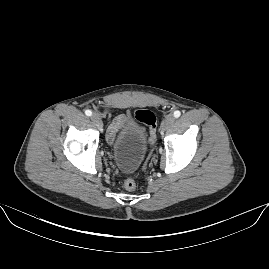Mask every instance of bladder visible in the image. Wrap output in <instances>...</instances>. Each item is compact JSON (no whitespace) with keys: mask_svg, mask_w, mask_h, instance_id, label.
<instances>
[{"mask_svg":"<svg viewBox=\"0 0 269 269\" xmlns=\"http://www.w3.org/2000/svg\"><path fill=\"white\" fill-rule=\"evenodd\" d=\"M147 151V135L141 133L136 121H125L118 139L111 148L117 166L123 172H134L145 161Z\"/></svg>","mask_w":269,"mask_h":269,"instance_id":"31cf9c89","label":"bladder"}]
</instances>
